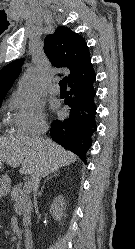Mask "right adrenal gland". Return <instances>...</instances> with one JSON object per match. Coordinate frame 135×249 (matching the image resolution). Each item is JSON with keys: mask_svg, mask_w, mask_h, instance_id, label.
Instances as JSON below:
<instances>
[{"mask_svg": "<svg viewBox=\"0 0 135 249\" xmlns=\"http://www.w3.org/2000/svg\"><path fill=\"white\" fill-rule=\"evenodd\" d=\"M57 173H58V171H54V172H53V176H57ZM51 177H52V176L50 175V176H47V178L45 179V181H44V183H43V186L41 187V191L38 193L39 196H41V194H42V191H43V188H44L45 183H46Z\"/></svg>", "mask_w": 135, "mask_h": 249, "instance_id": "2a0ac1e0", "label": "right adrenal gland"}]
</instances>
